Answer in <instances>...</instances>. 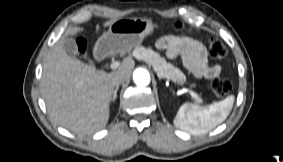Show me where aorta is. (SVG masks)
<instances>
[{
    "label": "aorta",
    "mask_w": 283,
    "mask_h": 162,
    "mask_svg": "<svg viewBox=\"0 0 283 162\" xmlns=\"http://www.w3.org/2000/svg\"><path fill=\"white\" fill-rule=\"evenodd\" d=\"M133 80L138 86H147L150 83V74L143 68H138L133 73Z\"/></svg>",
    "instance_id": "1"
}]
</instances>
